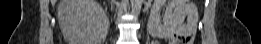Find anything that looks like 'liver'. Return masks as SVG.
I'll return each instance as SVG.
<instances>
[{
    "label": "liver",
    "mask_w": 261,
    "mask_h": 44,
    "mask_svg": "<svg viewBox=\"0 0 261 44\" xmlns=\"http://www.w3.org/2000/svg\"><path fill=\"white\" fill-rule=\"evenodd\" d=\"M57 12L59 25L66 39L73 44L97 40L93 24L97 22L96 20L103 10L96 2L93 0H60Z\"/></svg>",
    "instance_id": "obj_1"
}]
</instances>
